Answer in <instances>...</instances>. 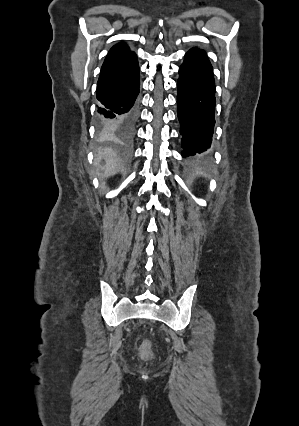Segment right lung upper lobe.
I'll use <instances>...</instances> for the list:
<instances>
[{
    "instance_id": "right-lung-upper-lobe-1",
    "label": "right lung upper lobe",
    "mask_w": 299,
    "mask_h": 426,
    "mask_svg": "<svg viewBox=\"0 0 299 426\" xmlns=\"http://www.w3.org/2000/svg\"><path fill=\"white\" fill-rule=\"evenodd\" d=\"M131 53H133V52L130 51L129 47L125 43L121 42V43L114 45L110 49L105 60L115 58V57H119V56L128 55V54H131Z\"/></svg>"
}]
</instances>
